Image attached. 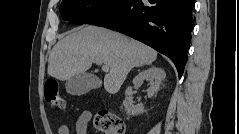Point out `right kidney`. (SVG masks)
<instances>
[{
  "mask_svg": "<svg viewBox=\"0 0 239 134\" xmlns=\"http://www.w3.org/2000/svg\"><path fill=\"white\" fill-rule=\"evenodd\" d=\"M166 77V74L163 69L158 67H151L147 70H144L142 72H139L137 76L133 79L134 85H142L144 80H148L150 84V88L147 90V95L149 98H151L156 92H158L161 81ZM132 88L128 87L125 95L131 96L132 95ZM125 111L127 112V115L134 116L138 115L144 112V106L142 104L133 105L128 100H124L123 102Z\"/></svg>",
  "mask_w": 239,
  "mask_h": 134,
  "instance_id": "obj_1",
  "label": "right kidney"
}]
</instances>
